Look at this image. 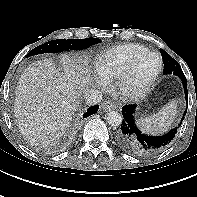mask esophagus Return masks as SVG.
Listing matches in <instances>:
<instances>
[{
    "label": "esophagus",
    "instance_id": "34e87169",
    "mask_svg": "<svg viewBox=\"0 0 197 197\" xmlns=\"http://www.w3.org/2000/svg\"><path fill=\"white\" fill-rule=\"evenodd\" d=\"M102 110L110 111L116 109V105L111 101H105L101 105Z\"/></svg>",
    "mask_w": 197,
    "mask_h": 197
}]
</instances>
